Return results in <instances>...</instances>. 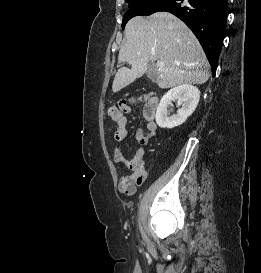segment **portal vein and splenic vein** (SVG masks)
Returning a JSON list of instances; mask_svg holds the SVG:
<instances>
[{"mask_svg":"<svg viewBox=\"0 0 261 273\" xmlns=\"http://www.w3.org/2000/svg\"><path fill=\"white\" fill-rule=\"evenodd\" d=\"M158 66H159V67H163V66H164V62H161V61L158 62Z\"/></svg>","mask_w":261,"mask_h":273,"instance_id":"obj_1","label":"portal vein and splenic vein"}]
</instances>
